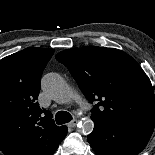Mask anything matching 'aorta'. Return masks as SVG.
<instances>
[{
  "label": "aorta",
  "mask_w": 155,
  "mask_h": 155,
  "mask_svg": "<svg viewBox=\"0 0 155 155\" xmlns=\"http://www.w3.org/2000/svg\"><path fill=\"white\" fill-rule=\"evenodd\" d=\"M43 90L56 102H69L72 92L71 88L62 76L57 73H48L42 78ZM94 122L91 119H85L78 123L79 131L88 135L92 133Z\"/></svg>",
  "instance_id": "obj_1"
}]
</instances>
